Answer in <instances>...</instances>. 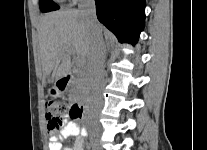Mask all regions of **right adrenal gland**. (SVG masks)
Listing matches in <instances>:
<instances>
[{
    "label": "right adrenal gland",
    "mask_w": 207,
    "mask_h": 150,
    "mask_svg": "<svg viewBox=\"0 0 207 150\" xmlns=\"http://www.w3.org/2000/svg\"><path fill=\"white\" fill-rule=\"evenodd\" d=\"M109 50V46L108 45H105L104 46V54H105V57H106V52Z\"/></svg>",
    "instance_id": "obj_1"
}]
</instances>
